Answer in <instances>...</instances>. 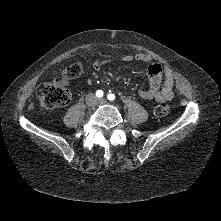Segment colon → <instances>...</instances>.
<instances>
[{
	"label": "colon",
	"mask_w": 221,
	"mask_h": 221,
	"mask_svg": "<svg viewBox=\"0 0 221 221\" xmlns=\"http://www.w3.org/2000/svg\"><path fill=\"white\" fill-rule=\"evenodd\" d=\"M83 72L79 62H74L61 69L53 81L42 83L37 89V98L45 109H56L67 105L71 99L68 84ZM169 113V106L165 103L158 104L154 109L155 116L162 118Z\"/></svg>",
	"instance_id": "obj_1"
}]
</instances>
